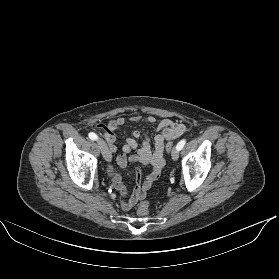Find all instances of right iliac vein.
Returning <instances> with one entry per match:
<instances>
[{"label": "right iliac vein", "mask_w": 279, "mask_h": 279, "mask_svg": "<svg viewBox=\"0 0 279 279\" xmlns=\"http://www.w3.org/2000/svg\"><path fill=\"white\" fill-rule=\"evenodd\" d=\"M98 144L100 146L103 157L105 158L106 161L110 162L112 159V155H111V152L108 149L107 145L102 140H98Z\"/></svg>", "instance_id": "right-iliac-vein-1"}]
</instances>
